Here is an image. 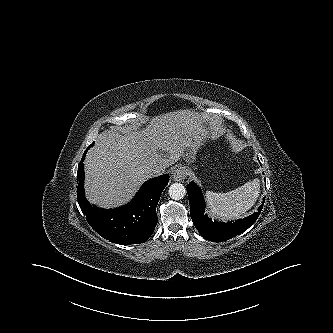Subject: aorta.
Segmentation results:
<instances>
[{
    "label": "aorta",
    "mask_w": 333,
    "mask_h": 333,
    "mask_svg": "<svg viewBox=\"0 0 333 333\" xmlns=\"http://www.w3.org/2000/svg\"><path fill=\"white\" fill-rule=\"evenodd\" d=\"M169 195L174 200H180L186 195V189L181 183H173L169 187Z\"/></svg>",
    "instance_id": "762f6f07"
}]
</instances>
